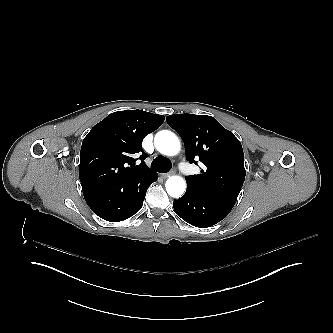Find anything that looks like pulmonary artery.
<instances>
[{
	"label": "pulmonary artery",
	"mask_w": 333,
	"mask_h": 333,
	"mask_svg": "<svg viewBox=\"0 0 333 333\" xmlns=\"http://www.w3.org/2000/svg\"><path fill=\"white\" fill-rule=\"evenodd\" d=\"M178 170H183L186 175H191L194 172V167L191 164L178 163Z\"/></svg>",
	"instance_id": "obj_1"
}]
</instances>
